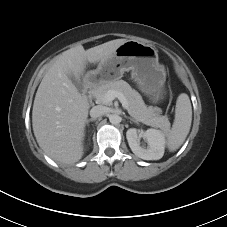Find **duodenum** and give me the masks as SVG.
I'll return each instance as SVG.
<instances>
[{
  "label": "duodenum",
  "instance_id": "410a0bca",
  "mask_svg": "<svg viewBox=\"0 0 227 227\" xmlns=\"http://www.w3.org/2000/svg\"><path fill=\"white\" fill-rule=\"evenodd\" d=\"M95 87V83L93 80L89 79V80H86L85 82V85H84V88H85V92L90 95L91 92L93 91Z\"/></svg>",
  "mask_w": 227,
  "mask_h": 227
}]
</instances>
